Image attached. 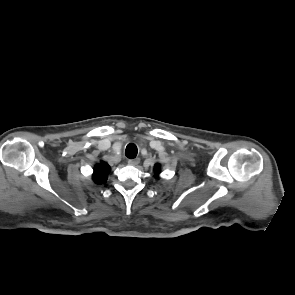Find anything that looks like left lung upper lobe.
I'll use <instances>...</instances> for the list:
<instances>
[{
  "label": "left lung upper lobe",
  "mask_w": 295,
  "mask_h": 295,
  "mask_svg": "<svg viewBox=\"0 0 295 295\" xmlns=\"http://www.w3.org/2000/svg\"><path fill=\"white\" fill-rule=\"evenodd\" d=\"M155 175L158 176L160 173V164L157 163L154 167Z\"/></svg>",
  "instance_id": "1"
}]
</instances>
